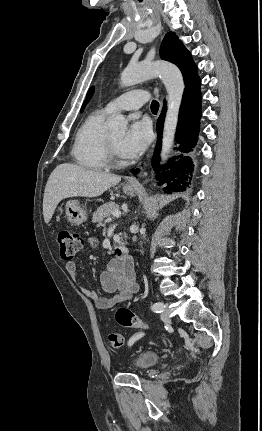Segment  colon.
I'll return each instance as SVG.
<instances>
[{"instance_id":"colon-1","label":"colon","mask_w":262,"mask_h":431,"mask_svg":"<svg viewBox=\"0 0 262 431\" xmlns=\"http://www.w3.org/2000/svg\"><path fill=\"white\" fill-rule=\"evenodd\" d=\"M89 242L94 243V239H89ZM57 243L62 259L72 261L86 245V239L78 232L64 229L58 232ZM115 318L121 326L137 328L141 331L149 330V325L126 307L119 308ZM108 340L114 348H120L124 345V338L119 333H110Z\"/></svg>"}]
</instances>
